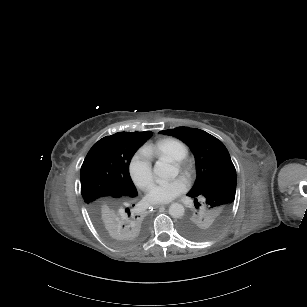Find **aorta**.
<instances>
[{
	"label": "aorta",
	"mask_w": 307,
	"mask_h": 307,
	"mask_svg": "<svg viewBox=\"0 0 307 307\" xmlns=\"http://www.w3.org/2000/svg\"><path fill=\"white\" fill-rule=\"evenodd\" d=\"M154 174L163 180H171L177 177L179 169L170 164L166 159H160L156 161L154 168ZM185 209L182 204L173 203L169 207V214L173 218H181L184 215Z\"/></svg>",
	"instance_id": "obj_1"
}]
</instances>
